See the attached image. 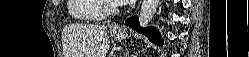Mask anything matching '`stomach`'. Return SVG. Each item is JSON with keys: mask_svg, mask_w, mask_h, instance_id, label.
Masks as SVG:
<instances>
[{"mask_svg": "<svg viewBox=\"0 0 249 57\" xmlns=\"http://www.w3.org/2000/svg\"><path fill=\"white\" fill-rule=\"evenodd\" d=\"M110 33L115 40H123L126 37L124 29H112Z\"/></svg>", "mask_w": 249, "mask_h": 57, "instance_id": "1", "label": "stomach"}]
</instances>
